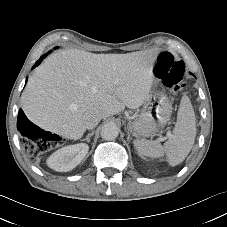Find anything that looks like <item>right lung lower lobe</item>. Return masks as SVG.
Wrapping results in <instances>:
<instances>
[{"mask_svg": "<svg viewBox=\"0 0 227 227\" xmlns=\"http://www.w3.org/2000/svg\"><path fill=\"white\" fill-rule=\"evenodd\" d=\"M47 56V54H44L40 57V59L36 62V64L33 66V68H35L36 66H38L41 61ZM27 83V80H26ZM28 125H34L33 123H31L27 117L25 116L24 112L20 109L19 110V114H18V122H17V128L18 130L23 133L25 127H27ZM35 126V125H34Z\"/></svg>", "mask_w": 227, "mask_h": 227, "instance_id": "98d812e1", "label": "right lung lower lobe"}]
</instances>
